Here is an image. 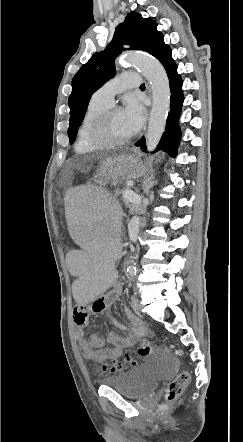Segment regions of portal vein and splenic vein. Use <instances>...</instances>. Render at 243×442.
Listing matches in <instances>:
<instances>
[{
    "label": "portal vein and splenic vein",
    "mask_w": 243,
    "mask_h": 442,
    "mask_svg": "<svg viewBox=\"0 0 243 442\" xmlns=\"http://www.w3.org/2000/svg\"><path fill=\"white\" fill-rule=\"evenodd\" d=\"M122 196H123V198L124 199H126V200H131L132 198H134V196H135V193L133 192V191H131V190H124L123 192H122Z\"/></svg>",
    "instance_id": "1"
}]
</instances>
